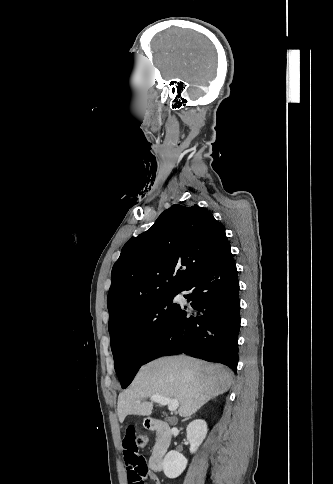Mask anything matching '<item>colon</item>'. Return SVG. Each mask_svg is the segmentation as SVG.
I'll list each match as a JSON object with an SVG mask.
<instances>
[{
	"label": "colon",
	"instance_id": "1",
	"mask_svg": "<svg viewBox=\"0 0 333 484\" xmlns=\"http://www.w3.org/2000/svg\"><path fill=\"white\" fill-rule=\"evenodd\" d=\"M147 442H148V438L144 434H140L136 438V443L139 446V448L145 447L147 445Z\"/></svg>",
	"mask_w": 333,
	"mask_h": 484
}]
</instances>
